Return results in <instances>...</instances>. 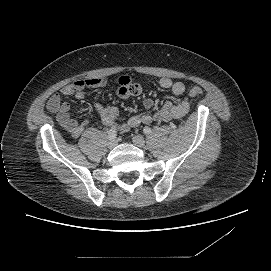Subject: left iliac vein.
I'll return each mask as SVG.
<instances>
[{
  "mask_svg": "<svg viewBox=\"0 0 271 271\" xmlns=\"http://www.w3.org/2000/svg\"><path fill=\"white\" fill-rule=\"evenodd\" d=\"M132 142L134 143V145L140 148L144 147L145 145L144 138L141 135H134L132 137Z\"/></svg>",
  "mask_w": 271,
  "mask_h": 271,
  "instance_id": "obj_1",
  "label": "left iliac vein"
}]
</instances>
